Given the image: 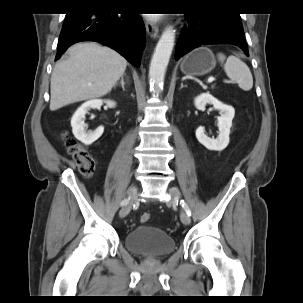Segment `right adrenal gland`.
<instances>
[{
    "label": "right adrenal gland",
    "instance_id": "obj_1",
    "mask_svg": "<svg viewBox=\"0 0 303 303\" xmlns=\"http://www.w3.org/2000/svg\"><path fill=\"white\" fill-rule=\"evenodd\" d=\"M125 76H126V75L123 74V75L121 76L120 82H119V83H116V84L114 85V87L120 85V86L122 87L123 91H125V81H124V77H125Z\"/></svg>",
    "mask_w": 303,
    "mask_h": 303
}]
</instances>
